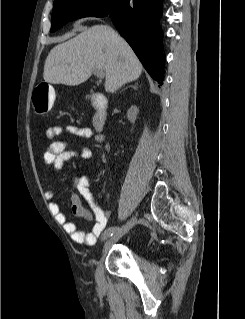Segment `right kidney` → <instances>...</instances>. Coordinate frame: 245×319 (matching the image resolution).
<instances>
[{
    "instance_id": "obj_1",
    "label": "right kidney",
    "mask_w": 245,
    "mask_h": 319,
    "mask_svg": "<svg viewBox=\"0 0 245 319\" xmlns=\"http://www.w3.org/2000/svg\"><path fill=\"white\" fill-rule=\"evenodd\" d=\"M137 114H138V108L136 106H131L129 110L127 111V117L131 123L133 124L135 123Z\"/></svg>"
}]
</instances>
